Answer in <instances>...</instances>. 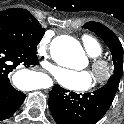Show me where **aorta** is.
<instances>
[{
	"label": "aorta",
	"mask_w": 124,
	"mask_h": 124,
	"mask_svg": "<svg viewBox=\"0 0 124 124\" xmlns=\"http://www.w3.org/2000/svg\"><path fill=\"white\" fill-rule=\"evenodd\" d=\"M51 55L55 61L65 66L74 64L85 57L80 43L73 37L62 35L57 37L50 46ZM51 83L48 81L47 87Z\"/></svg>",
	"instance_id": "obj_1"
}]
</instances>
